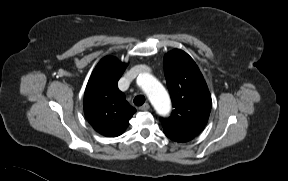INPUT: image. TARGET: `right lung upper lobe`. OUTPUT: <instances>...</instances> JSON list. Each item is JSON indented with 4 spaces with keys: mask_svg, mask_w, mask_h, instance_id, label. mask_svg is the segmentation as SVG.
<instances>
[{
    "mask_svg": "<svg viewBox=\"0 0 288 181\" xmlns=\"http://www.w3.org/2000/svg\"><path fill=\"white\" fill-rule=\"evenodd\" d=\"M126 66L117 58L106 56L97 64L86 86V118L95 131L107 137L121 135L136 112L117 87Z\"/></svg>",
    "mask_w": 288,
    "mask_h": 181,
    "instance_id": "obj_1",
    "label": "right lung upper lobe"
}]
</instances>
